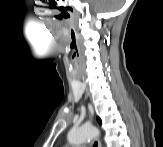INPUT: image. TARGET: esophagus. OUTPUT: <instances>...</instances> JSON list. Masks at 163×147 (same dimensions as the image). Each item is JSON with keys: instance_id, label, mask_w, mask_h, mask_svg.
I'll return each instance as SVG.
<instances>
[{"instance_id": "1", "label": "esophagus", "mask_w": 163, "mask_h": 147, "mask_svg": "<svg viewBox=\"0 0 163 147\" xmlns=\"http://www.w3.org/2000/svg\"><path fill=\"white\" fill-rule=\"evenodd\" d=\"M91 144L93 147H101V142L98 138H95L94 140H92Z\"/></svg>"}]
</instances>
